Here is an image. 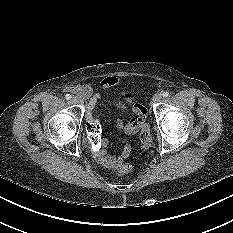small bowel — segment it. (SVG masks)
<instances>
[{
	"mask_svg": "<svg viewBox=\"0 0 233 233\" xmlns=\"http://www.w3.org/2000/svg\"><path fill=\"white\" fill-rule=\"evenodd\" d=\"M119 83V78L115 76H109L102 79L99 82L101 89H109L115 87ZM71 91L76 93L82 98L89 99V114H88V123H95L99 129V123L95 115L93 114V109L97 102L101 98L100 93L93 91V86L90 83L83 85H75L71 87ZM113 103L116 107L122 110H127L128 107L137 115L135 118H132L129 122L124 123L118 121L117 129L123 135H131L136 133L141 124L144 122L146 117V109L139 103H136L134 100L133 94L128 91L122 90L118 93V97L113 100ZM121 141L123 138H120ZM131 152L130 145H124L122 152L119 156L109 155L107 153V141L101 137L100 143L97 147L94 148L95 159L98 163L110 170H116L123 165L124 159H126Z\"/></svg>",
	"mask_w": 233,
	"mask_h": 233,
	"instance_id": "small-bowel-1",
	"label": "small bowel"
}]
</instances>
